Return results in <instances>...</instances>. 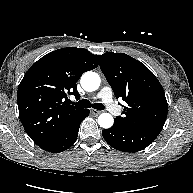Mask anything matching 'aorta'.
<instances>
[{"label": "aorta", "instance_id": "obj_1", "mask_svg": "<svg viewBox=\"0 0 193 193\" xmlns=\"http://www.w3.org/2000/svg\"><path fill=\"white\" fill-rule=\"evenodd\" d=\"M81 86L85 91L93 92L100 86V76L92 71L85 72L80 80ZM114 123L113 116L110 113H102L98 117V124L104 129L112 127Z\"/></svg>", "mask_w": 193, "mask_h": 193}]
</instances>
